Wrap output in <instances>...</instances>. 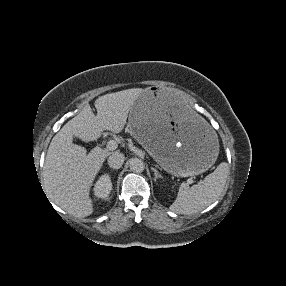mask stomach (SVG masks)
Returning a JSON list of instances; mask_svg holds the SVG:
<instances>
[{"mask_svg":"<svg viewBox=\"0 0 286 286\" xmlns=\"http://www.w3.org/2000/svg\"><path fill=\"white\" fill-rule=\"evenodd\" d=\"M128 126L153 159L174 176L199 175L217 159L216 130L175 91L144 89L131 107Z\"/></svg>","mask_w":286,"mask_h":286,"instance_id":"1","label":"stomach"}]
</instances>
